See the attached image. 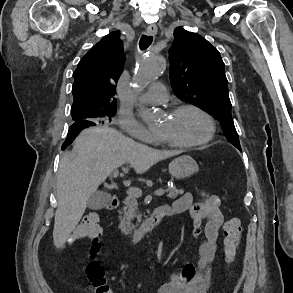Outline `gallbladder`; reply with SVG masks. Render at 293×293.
<instances>
[{
  "label": "gallbladder",
  "instance_id": "1",
  "mask_svg": "<svg viewBox=\"0 0 293 293\" xmlns=\"http://www.w3.org/2000/svg\"><path fill=\"white\" fill-rule=\"evenodd\" d=\"M109 200L110 196L107 193L97 191L89 197L87 207L92 210H100L106 206Z\"/></svg>",
  "mask_w": 293,
  "mask_h": 293
}]
</instances>
